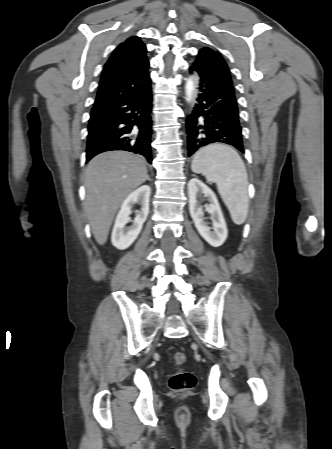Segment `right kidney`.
<instances>
[{
    "label": "right kidney",
    "instance_id": "1",
    "mask_svg": "<svg viewBox=\"0 0 332 449\" xmlns=\"http://www.w3.org/2000/svg\"><path fill=\"white\" fill-rule=\"evenodd\" d=\"M150 194L151 188L148 185H143L130 193L122 203L111 236V242L117 249L128 248L138 237L149 213ZM135 203L141 204V210L135 217L133 224L127 227L126 224L131 220L129 217L131 208Z\"/></svg>",
    "mask_w": 332,
    "mask_h": 449
}]
</instances>
